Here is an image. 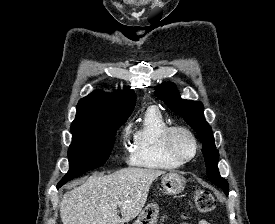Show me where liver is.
<instances>
[{"instance_id": "1", "label": "liver", "mask_w": 275, "mask_h": 224, "mask_svg": "<svg viewBox=\"0 0 275 224\" xmlns=\"http://www.w3.org/2000/svg\"><path fill=\"white\" fill-rule=\"evenodd\" d=\"M163 174L157 169L125 168L109 175H92L63 195L61 220L63 224L129 222L141 213L152 182Z\"/></svg>"}]
</instances>
